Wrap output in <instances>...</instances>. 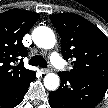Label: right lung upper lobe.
Masks as SVG:
<instances>
[{"instance_id": "right-lung-upper-lobe-1", "label": "right lung upper lobe", "mask_w": 108, "mask_h": 108, "mask_svg": "<svg viewBox=\"0 0 108 108\" xmlns=\"http://www.w3.org/2000/svg\"><path fill=\"white\" fill-rule=\"evenodd\" d=\"M38 18V13L19 9L0 14V89L14 86L33 73L24 67L28 51L22 39Z\"/></svg>"}]
</instances>
